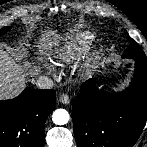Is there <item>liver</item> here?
Listing matches in <instances>:
<instances>
[{
    "label": "liver",
    "instance_id": "liver-1",
    "mask_svg": "<svg viewBox=\"0 0 147 147\" xmlns=\"http://www.w3.org/2000/svg\"><path fill=\"white\" fill-rule=\"evenodd\" d=\"M27 69L0 48V100L17 96L23 90Z\"/></svg>",
    "mask_w": 147,
    "mask_h": 147
}]
</instances>
